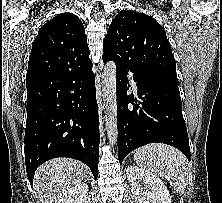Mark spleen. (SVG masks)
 <instances>
[{
  "instance_id": "3e777b00",
  "label": "spleen",
  "mask_w": 222,
  "mask_h": 203,
  "mask_svg": "<svg viewBox=\"0 0 222 203\" xmlns=\"http://www.w3.org/2000/svg\"><path fill=\"white\" fill-rule=\"evenodd\" d=\"M136 164L166 179L177 194H183L189 178V164L183 153L162 143L138 148L134 154Z\"/></svg>"
}]
</instances>
